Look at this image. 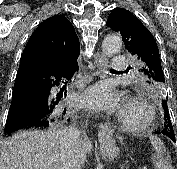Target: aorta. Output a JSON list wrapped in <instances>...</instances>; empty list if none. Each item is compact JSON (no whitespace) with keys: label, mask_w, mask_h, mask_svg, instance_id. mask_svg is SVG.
<instances>
[{"label":"aorta","mask_w":177,"mask_h":169,"mask_svg":"<svg viewBox=\"0 0 177 169\" xmlns=\"http://www.w3.org/2000/svg\"><path fill=\"white\" fill-rule=\"evenodd\" d=\"M122 41L119 36L109 35L102 43V51L106 56H112L121 48Z\"/></svg>","instance_id":"obj_1"}]
</instances>
